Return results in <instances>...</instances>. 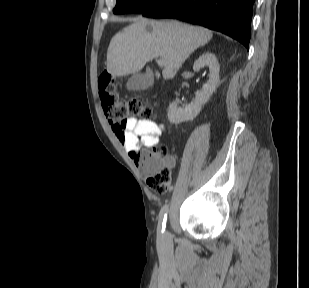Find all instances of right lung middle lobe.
I'll list each match as a JSON object with an SVG mask.
<instances>
[{"instance_id": "dd1d6c3e", "label": "right lung middle lobe", "mask_w": 309, "mask_h": 288, "mask_svg": "<svg viewBox=\"0 0 309 288\" xmlns=\"http://www.w3.org/2000/svg\"><path fill=\"white\" fill-rule=\"evenodd\" d=\"M162 1L163 0H117V4L113 12L115 14L130 12L143 13L158 5Z\"/></svg>"}]
</instances>
